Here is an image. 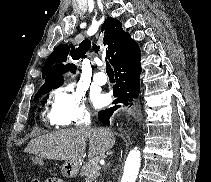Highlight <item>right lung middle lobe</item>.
I'll return each instance as SVG.
<instances>
[{"mask_svg": "<svg viewBox=\"0 0 211 182\" xmlns=\"http://www.w3.org/2000/svg\"><path fill=\"white\" fill-rule=\"evenodd\" d=\"M58 87H53V88H50V89H48L46 91H43L41 93H38L37 95H35L34 101H37L42 95H44V94L48 93L49 91H51L52 89H55V88H58Z\"/></svg>", "mask_w": 211, "mask_h": 182, "instance_id": "dd1d6c3e", "label": "right lung middle lobe"}]
</instances>
